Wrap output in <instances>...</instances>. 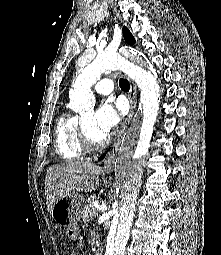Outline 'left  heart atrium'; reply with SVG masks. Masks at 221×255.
Here are the masks:
<instances>
[{
	"label": "left heart atrium",
	"mask_w": 221,
	"mask_h": 255,
	"mask_svg": "<svg viewBox=\"0 0 221 255\" xmlns=\"http://www.w3.org/2000/svg\"><path fill=\"white\" fill-rule=\"evenodd\" d=\"M123 108L103 103L94 115V126L103 135L107 136L121 121Z\"/></svg>",
	"instance_id": "left-heart-atrium-1"
}]
</instances>
